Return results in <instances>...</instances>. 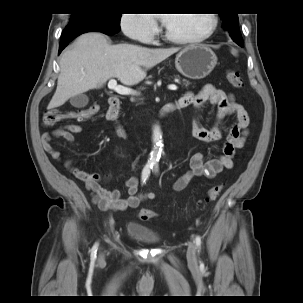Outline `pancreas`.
Instances as JSON below:
<instances>
[{
  "label": "pancreas",
  "mask_w": 303,
  "mask_h": 303,
  "mask_svg": "<svg viewBox=\"0 0 303 303\" xmlns=\"http://www.w3.org/2000/svg\"><path fill=\"white\" fill-rule=\"evenodd\" d=\"M177 78H179V76H177ZM183 82L186 87H188L190 85V82L185 79H183Z\"/></svg>",
  "instance_id": "cf45deb5"
}]
</instances>
